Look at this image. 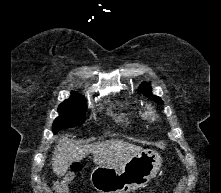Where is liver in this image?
<instances>
[{"label":"liver","mask_w":221,"mask_h":193,"mask_svg":"<svg viewBox=\"0 0 221 193\" xmlns=\"http://www.w3.org/2000/svg\"><path fill=\"white\" fill-rule=\"evenodd\" d=\"M142 150L140 146L122 140L81 145L63 138L54 148L52 169L56 175L63 176L73 162L81 161L88 154L93 155L97 166L118 167Z\"/></svg>","instance_id":"obj_1"}]
</instances>
